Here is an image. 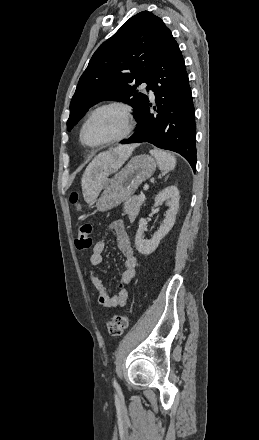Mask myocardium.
<instances>
[{"label": "myocardium", "mask_w": 259, "mask_h": 440, "mask_svg": "<svg viewBox=\"0 0 259 440\" xmlns=\"http://www.w3.org/2000/svg\"><path fill=\"white\" fill-rule=\"evenodd\" d=\"M108 108H116L120 110V112L122 113L123 122H124V129L122 133L119 136L102 143H98L94 145L87 144L83 139V131L85 126L96 113ZM134 127H135V121H134V111L132 106L124 101L112 100L94 107L91 111L87 113L79 128V140L81 144L86 148L99 149L115 143H119L122 140L126 139L131 135V133L134 130Z\"/></svg>", "instance_id": "f54148a6"}]
</instances>
